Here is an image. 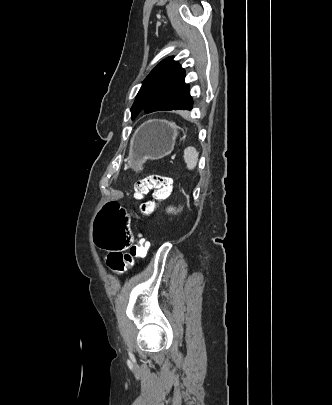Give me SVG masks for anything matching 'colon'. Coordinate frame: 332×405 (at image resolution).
Here are the masks:
<instances>
[{
	"label": "colon",
	"instance_id": "obj_1",
	"mask_svg": "<svg viewBox=\"0 0 332 405\" xmlns=\"http://www.w3.org/2000/svg\"><path fill=\"white\" fill-rule=\"evenodd\" d=\"M134 190L138 198L151 190L156 200H164L172 193L173 182L167 176L152 174L139 180ZM154 208L152 201L143 202L140 206L141 213L145 215L152 214ZM94 229L97 257H111L109 265L114 272H124L135 258L144 257L148 252L150 243L140 233L133 243L135 227H130L128 208L123 207V202H102V211H96Z\"/></svg>",
	"mask_w": 332,
	"mask_h": 405
}]
</instances>
